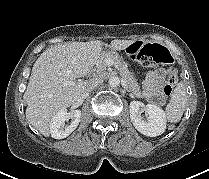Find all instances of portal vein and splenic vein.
<instances>
[{"mask_svg": "<svg viewBox=\"0 0 209 179\" xmlns=\"http://www.w3.org/2000/svg\"><path fill=\"white\" fill-rule=\"evenodd\" d=\"M74 84H75L74 81H66V82H65V85H66V86H71V85H74Z\"/></svg>", "mask_w": 209, "mask_h": 179, "instance_id": "portal-vein-and-splenic-vein-1", "label": "portal vein and splenic vein"}]
</instances>
